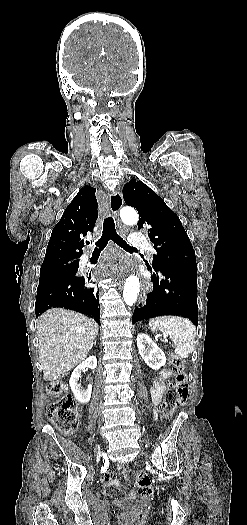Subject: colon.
I'll list each match as a JSON object with an SVG mask.
<instances>
[{"label": "colon", "instance_id": "colon-1", "mask_svg": "<svg viewBox=\"0 0 247 525\" xmlns=\"http://www.w3.org/2000/svg\"><path fill=\"white\" fill-rule=\"evenodd\" d=\"M170 363L176 372V376L170 382L164 397L163 412L166 416L173 415L176 407L183 405L188 397V375L184 372V361L179 355L173 353ZM47 391L51 397L55 398V401L47 405L45 416L60 427L63 432L75 431L78 425L77 405L74 399L66 394V386L62 382L54 381L48 385ZM132 475L139 488L140 495L146 498L152 497L155 490L149 476L144 472H136ZM145 516L146 514L143 512L141 517L145 518Z\"/></svg>", "mask_w": 247, "mask_h": 525}]
</instances>
